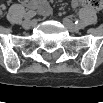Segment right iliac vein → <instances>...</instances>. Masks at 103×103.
Listing matches in <instances>:
<instances>
[{"label": "right iliac vein", "mask_w": 103, "mask_h": 103, "mask_svg": "<svg viewBox=\"0 0 103 103\" xmlns=\"http://www.w3.org/2000/svg\"><path fill=\"white\" fill-rule=\"evenodd\" d=\"M33 25H34V22L31 20H25L22 24L23 28H25V29H29Z\"/></svg>", "instance_id": "obj_1"}]
</instances>
